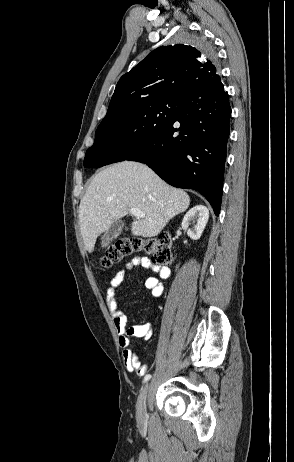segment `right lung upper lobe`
<instances>
[{
  "mask_svg": "<svg viewBox=\"0 0 294 462\" xmlns=\"http://www.w3.org/2000/svg\"><path fill=\"white\" fill-rule=\"evenodd\" d=\"M217 78L214 52L184 44L158 47L120 78L107 115L151 98L183 97Z\"/></svg>",
  "mask_w": 294,
  "mask_h": 462,
  "instance_id": "cb5924a9",
  "label": "right lung upper lobe"
}]
</instances>
